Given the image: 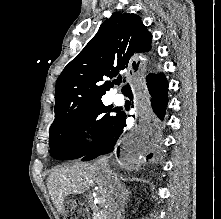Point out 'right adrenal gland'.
<instances>
[{
	"mask_svg": "<svg viewBox=\"0 0 221 219\" xmlns=\"http://www.w3.org/2000/svg\"><path fill=\"white\" fill-rule=\"evenodd\" d=\"M124 192H125V195H126V201L129 202L130 201L129 197H130L132 191L125 188Z\"/></svg>",
	"mask_w": 221,
	"mask_h": 219,
	"instance_id": "2a0ac1e0",
	"label": "right adrenal gland"
}]
</instances>
